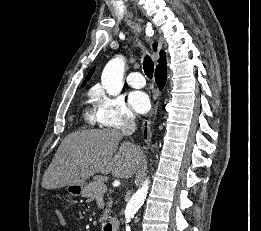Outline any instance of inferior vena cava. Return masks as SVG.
Segmentation results:
<instances>
[{
  "label": "inferior vena cava",
  "mask_w": 261,
  "mask_h": 231,
  "mask_svg": "<svg viewBox=\"0 0 261 231\" xmlns=\"http://www.w3.org/2000/svg\"><path fill=\"white\" fill-rule=\"evenodd\" d=\"M136 130V124H135V119L133 116H127L124 119V122L122 124V135L124 136H129L132 135Z\"/></svg>",
  "instance_id": "1"
}]
</instances>
